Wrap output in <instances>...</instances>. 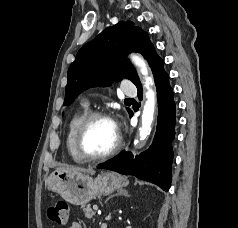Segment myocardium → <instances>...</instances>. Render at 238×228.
<instances>
[{
  "instance_id": "1",
  "label": "myocardium",
  "mask_w": 238,
  "mask_h": 228,
  "mask_svg": "<svg viewBox=\"0 0 238 228\" xmlns=\"http://www.w3.org/2000/svg\"><path fill=\"white\" fill-rule=\"evenodd\" d=\"M97 119H111V116L104 112V111H92L89 112L84 119L81 121L77 132H76V137H75V149L78 153V155L84 159L85 161H100V160H105L108 159L112 156H114L121 148L122 146V137L119 132H117V141L115 145L107 152L100 154V155H91L87 153L84 150L83 147V142H84V137L92 124Z\"/></svg>"
}]
</instances>
